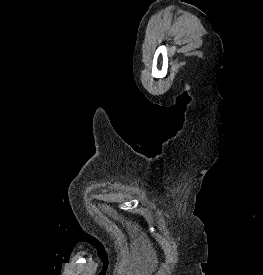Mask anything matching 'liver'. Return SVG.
Masks as SVG:
<instances>
[{"instance_id":"6515ba94","label":"liver","mask_w":263,"mask_h":275,"mask_svg":"<svg viewBox=\"0 0 263 275\" xmlns=\"http://www.w3.org/2000/svg\"><path fill=\"white\" fill-rule=\"evenodd\" d=\"M114 218H115V219H120V220L123 222V219H122L120 216L118 217V215H117L116 212L114 213ZM127 226L129 227V226H130V223H127Z\"/></svg>"}]
</instances>
